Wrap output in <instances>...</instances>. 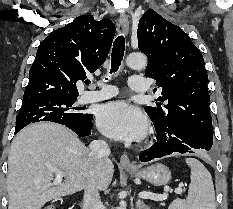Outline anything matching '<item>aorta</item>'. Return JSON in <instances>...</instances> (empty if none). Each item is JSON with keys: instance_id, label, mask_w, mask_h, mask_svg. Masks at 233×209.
I'll return each mask as SVG.
<instances>
[{"instance_id": "aorta-1", "label": "aorta", "mask_w": 233, "mask_h": 209, "mask_svg": "<svg viewBox=\"0 0 233 209\" xmlns=\"http://www.w3.org/2000/svg\"><path fill=\"white\" fill-rule=\"evenodd\" d=\"M126 64L132 69H142L147 65V58L143 54H130L126 59ZM117 209H126L125 205H120Z\"/></svg>"}]
</instances>
